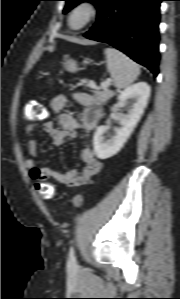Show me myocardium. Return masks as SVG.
I'll return each mask as SVG.
<instances>
[{"label":"myocardium","mask_w":180,"mask_h":299,"mask_svg":"<svg viewBox=\"0 0 180 299\" xmlns=\"http://www.w3.org/2000/svg\"><path fill=\"white\" fill-rule=\"evenodd\" d=\"M79 10H84L86 13V17L81 24L73 25L72 23L73 16ZM98 13H99V8L93 1L82 0L76 3L69 11L67 16V23L72 30L80 31L88 27L91 23H93L96 20Z\"/></svg>","instance_id":"1"}]
</instances>
